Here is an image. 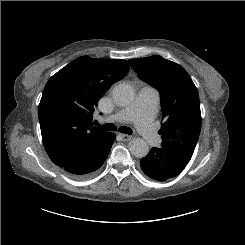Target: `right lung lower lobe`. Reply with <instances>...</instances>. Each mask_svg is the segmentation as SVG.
I'll use <instances>...</instances> for the list:
<instances>
[{
	"label": "right lung lower lobe",
	"mask_w": 245,
	"mask_h": 245,
	"mask_svg": "<svg viewBox=\"0 0 245 245\" xmlns=\"http://www.w3.org/2000/svg\"><path fill=\"white\" fill-rule=\"evenodd\" d=\"M114 140V134L105 132L89 144L75 160L61 168L78 178L91 175L106 160Z\"/></svg>",
	"instance_id": "obj_1"
}]
</instances>
